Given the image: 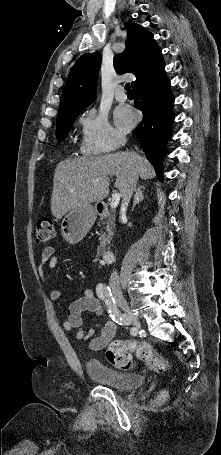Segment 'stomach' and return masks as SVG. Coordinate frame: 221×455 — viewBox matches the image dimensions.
Returning a JSON list of instances; mask_svg holds the SVG:
<instances>
[{"label": "stomach", "mask_w": 221, "mask_h": 455, "mask_svg": "<svg viewBox=\"0 0 221 455\" xmlns=\"http://www.w3.org/2000/svg\"><path fill=\"white\" fill-rule=\"evenodd\" d=\"M96 220V210L91 204L79 205L67 212L61 222V234L68 243H79Z\"/></svg>", "instance_id": "1"}]
</instances>
